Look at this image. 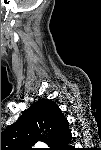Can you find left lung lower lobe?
Here are the masks:
<instances>
[{
	"label": "left lung lower lobe",
	"instance_id": "obj_1",
	"mask_svg": "<svg viewBox=\"0 0 101 150\" xmlns=\"http://www.w3.org/2000/svg\"><path fill=\"white\" fill-rule=\"evenodd\" d=\"M65 124L68 125L67 122H66ZM59 139H60V138H59ZM60 140H61L62 142L69 143V141H70V133H69L68 130H66V131L64 132V134L62 135V138H61Z\"/></svg>",
	"mask_w": 101,
	"mask_h": 150
}]
</instances>
